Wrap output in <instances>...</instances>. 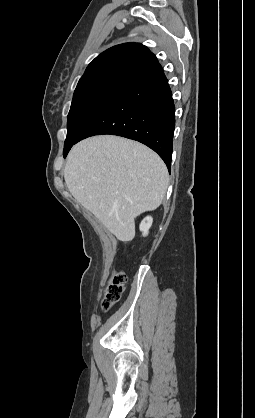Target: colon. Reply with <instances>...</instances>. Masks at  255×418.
I'll return each instance as SVG.
<instances>
[{"label": "colon", "mask_w": 255, "mask_h": 418, "mask_svg": "<svg viewBox=\"0 0 255 418\" xmlns=\"http://www.w3.org/2000/svg\"><path fill=\"white\" fill-rule=\"evenodd\" d=\"M126 275L124 272H115L106 287L103 307L108 309L121 297L126 283Z\"/></svg>", "instance_id": "1"}]
</instances>
